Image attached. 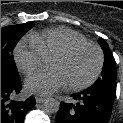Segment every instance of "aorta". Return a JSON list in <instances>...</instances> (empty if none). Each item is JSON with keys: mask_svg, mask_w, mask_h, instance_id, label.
I'll return each mask as SVG.
<instances>
[{"mask_svg": "<svg viewBox=\"0 0 123 123\" xmlns=\"http://www.w3.org/2000/svg\"><path fill=\"white\" fill-rule=\"evenodd\" d=\"M59 102L55 98H47L44 101V110L47 113H56L59 110Z\"/></svg>", "mask_w": 123, "mask_h": 123, "instance_id": "762f6f07", "label": "aorta"}]
</instances>
